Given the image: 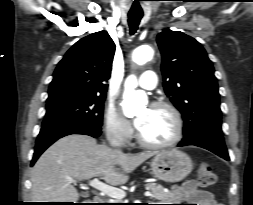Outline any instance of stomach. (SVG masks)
<instances>
[{
    "label": "stomach",
    "instance_id": "stomach-1",
    "mask_svg": "<svg viewBox=\"0 0 253 205\" xmlns=\"http://www.w3.org/2000/svg\"><path fill=\"white\" fill-rule=\"evenodd\" d=\"M153 174L160 180L178 182L192 171L191 158L182 151L173 149L158 153L150 163Z\"/></svg>",
    "mask_w": 253,
    "mask_h": 205
}]
</instances>
